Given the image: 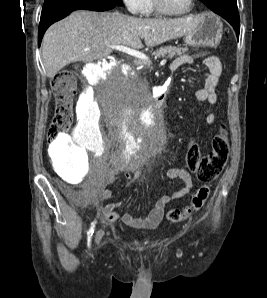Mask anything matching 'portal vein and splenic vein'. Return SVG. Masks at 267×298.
Here are the masks:
<instances>
[{"label": "portal vein and splenic vein", "instance_id": "portal-vein-and-splenic-vein-1", "mask_svg": "<svg viewBox=\"0 0 267 298\" xmlns=\"http://www.w3.org/2000/svg\"><path fill=\"white\" fill-rule=\"evenodd\" d=\"M107 47L111 48V49L121 51V52L126 53L128 55L134 56V57H136L138 59H141L143 61L150 62L149 58L144 53H141L140 51H137V50L132 49L130 47H126L124 45H109ZM162 62L165 63L166 60L164 59V60H162Z\"/></svg>", "mask_w": 267, "mask_h": 298}]
</instances>
